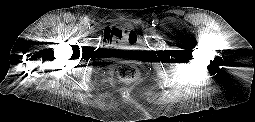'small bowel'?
<instances>
[{
	"label": "small bowel",
	"instance_id": "obj_1",
	"mask_svg": "<svg viewBox=\"0 0 255 122\" xmlns=\"http://www.w3.org/2000/svg\"><path fill=\"white\" fill-rule=\"evenodd\" d=\"M104 41H105V43H106L108 46L114 45V44H116L117 42H119V40H118L117 38L108 35L107 32H106V34H105Z\"/></svg>",
	"mask_w": 255,
	"mask_h": 122
}]
</instances>
